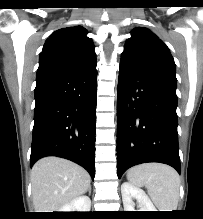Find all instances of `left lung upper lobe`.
<instances>
[{
	"label": "left lung upper lobe",
	"instance_id": "5c2ea615",
	"mask_svg": "<svg viewBox=\"0 0 203 219\" xmlns=\"http://www.w3.org/2000/svg\"><path fill=\"white\" fill-rule=\"evenodd\" d=\"M121 61L176 81L175 63L168 47L146 28L132 30Z\"/></svg>",
	"mask_w": 203,
	"mask_h": 219
}]
</instances>
